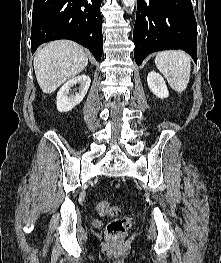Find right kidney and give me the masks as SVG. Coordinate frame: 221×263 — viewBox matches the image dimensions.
I'll return each instance as SVG.
<instances>
[{
  "label": "right kidney",
  "instance_id": "ca27d5eb",
  "mask_svg": "<svg viewBox=\"0 0 221 263\" xmlns=\"http://www.w3.org/2000/svg\"><path fill=\"white\" fill-rule=\"evenodd\" d=\"M91 79L87 75L77 76L68 82H66L57 93V110L59 112H68L78 105L85 97L89 87ZM79 84V91L72 95L69 93L71 87Z\"/></svg>",
  "mask_w": 221,
  "mask_h": 263
}]
</instances>
